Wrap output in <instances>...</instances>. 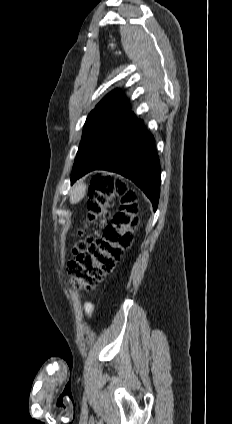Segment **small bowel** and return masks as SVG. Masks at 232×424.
I'll return each mask as SVG.
<instances>
[{"label":"small bowel","instance_id":"obj_1","mask_svg":"<svg viewBox=\"0 0 232 424\" xmlns=\"http://www.w3.org/2000/svg\"><path fill=\"white\" fill-rule=\"evenodd\" d=\"M84 309L88 316H91L94 311V307L92 304H86Z\"/></svg>","mask_w":232,"mask_h":424}]
</instances>
